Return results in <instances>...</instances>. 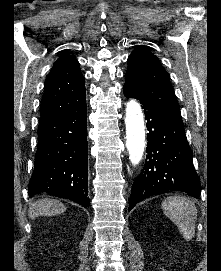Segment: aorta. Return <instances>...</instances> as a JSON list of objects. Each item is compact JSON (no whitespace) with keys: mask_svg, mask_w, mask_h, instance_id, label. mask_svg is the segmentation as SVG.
I'll return each instance as SVG.
<instances>
[{"mask_svg":"<svg viewBox=\"0 0 221 271\" xmlns=\"http://www.w3.org/2000/svg\"><path fill=\"white\" fill-rule=\"evenodd\" d=\"M126 147L132 165H138L145 147L144 115L140 104L131 99L126 105Z\"/></svg>","mask_w":221,"mask_h":271,"instance_id":"obj_1","label":"aorta"}]
</instances>
